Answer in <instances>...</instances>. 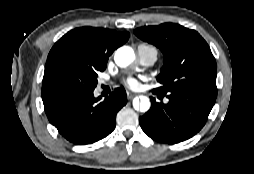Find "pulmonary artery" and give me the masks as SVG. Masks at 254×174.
I'll return each instance as SVG.
<instances>
[{
  "label": "pulmonary artery",
  "instance_id": "obj_1",
  "mask_svg": "<svg viewBox=\"0 0 254 174\" xmlns=\"http://www.w3.org/2000/svg\"><path fill=\"white\" fill-rule=\"evenodd\" d=\"M138 57L140 62L145 66L153 65L157 60V50L148 45L138 46Z\"/></svg>",
  "mask_w": 254,
  "mask_h": 174
}]
</instances>
